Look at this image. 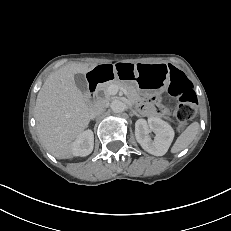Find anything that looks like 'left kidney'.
I'll list each match as a JSON object with an SVG mask.
<instances>
[{"instance_id": "left-kidney-1", "label": "left kidney", "mask_w": 231, "mask_h": 231, "mask_svg": "<svg viewBox=\"0 0 231 231\" xmlns=\"http://www.w3.org/2000/svg\"><path fill=\"white\" fill-rule=\"evenodd\" d=\"M151 131L156 134L154 140L149 136ZM135 136L137 142L145 151L155 156H163L173 141L174 131L162 119L150 117L148 122L145 119H138L136 121Z\"/></svg>"}]
</instances>
